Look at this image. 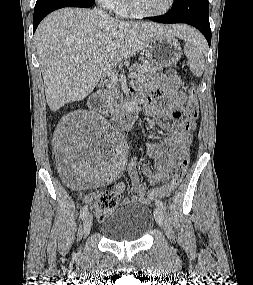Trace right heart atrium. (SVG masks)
I'll return each instance as SVG.
<instances>
[{
  "label": "right heart atrium",
  "mask_w": 253,
  "mask_h": 285,
  "mask_svg": "<svg viewBox=\"0 0 253 285\" xmlns=\"http://www.w3.org/2000/svg\"><path fill=\"white\" fill-rule=\"evenodd\" d=\"M121 0H97L99 5L106 10H116L117 7L119 6Z\"/></svg>",
  "instance_id": "right-heart-atrium-1"
}]
</instances>
